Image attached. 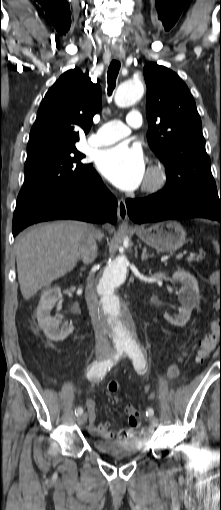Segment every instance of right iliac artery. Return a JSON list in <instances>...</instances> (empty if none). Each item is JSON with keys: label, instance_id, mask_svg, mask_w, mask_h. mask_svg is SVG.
<instances>
[{"label": "right iliac artery", "instance_id": "1", "mask_svg": "<svg viewBox=\"0 0 221 510\" xmlns=\"http://www.w3.org/2000/svg\"><path fill=\"white\" fill-rule=\"evenodd\" d=\"M120 355H121V352H118L117 354L114 355L113 358L115 360H117ZM112 366H113V360L112 359H107V360H104V361H94L91 364V367H90V369L87 372V378L88 379L101 378V377H103L106 374L107 371L110 370V368ZM82 413H83V408L82 407H78L75 410V414L77 416L82 414Z\"/></svg>", "mask_w": 221, "mask_h": 510}]
</instances>
